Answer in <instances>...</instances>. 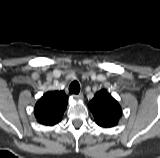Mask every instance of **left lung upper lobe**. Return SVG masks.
Returning a JSON list of instances; mask_svg holds the SVG:
<instances>
[{"label":"left lung upper lobe","instance_id":"1","mask_svg":"<svg viewBox=\"0 0 160 158\" xmlns=\"http://www.w3.org/2000/svg\"><path fill=\"white\" fill-rule=\"evenodd\" d=\"M96 123L104 128L116 126L122 110L119 103L105 90H100L88 105Z\"/></svg>","mask_w":160,"mask_h":158}]
</instances>
